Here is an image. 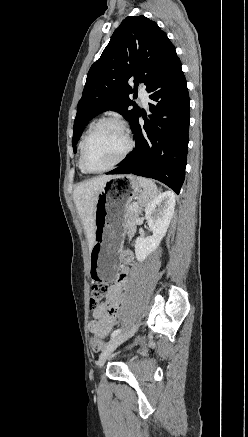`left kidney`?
<instances>
[{
  "instance_id": "left-kidney-1",
  "label": "left kidney",
  "mask_w": 248,
  "mask_h": 437,
  "mask_svg": "<svg viewBox=\"0 0 248 437\" xmlns=\"http://www.w3.org/2000/svg\"><path fill=\"white\" fill-rule=\"evenodd\" d=\"M175 208V195L166 191L152 199L145 208V218L152 235L138 237L135 241V254L138 261H144L155 251L165 236Z\"/></svg>"
}]
</instances>
